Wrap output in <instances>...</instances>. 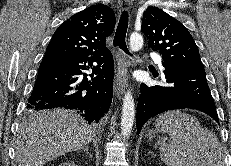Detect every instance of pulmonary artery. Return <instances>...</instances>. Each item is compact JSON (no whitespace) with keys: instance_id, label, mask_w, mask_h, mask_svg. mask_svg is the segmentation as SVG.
I'll list each match as a JSON object with an SVG mask.
<instances>
[{"instance_id":"e3ab8cb5","label":"pulmonary artery","mask_w":231,"mask_h":166,"mask_svg":"<svg viewBox=\"0 0 231 166\" xmlns=\"http://www.w3.org/2000/svg\"><path fill=\"white\" fill-rule=\"evenodd\" d=\"M152 57L156 61V63L162 68L161 58L156 54H152Z\"/></svg>"}]
</instances>
